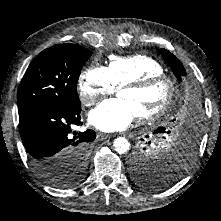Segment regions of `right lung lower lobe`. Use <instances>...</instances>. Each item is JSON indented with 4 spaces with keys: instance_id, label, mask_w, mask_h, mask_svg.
I'll use <instances>...</instances> for the list:
<instances>
[{
    "instance_id": "obj_1",
    "label": "right lung lower lobe",
    "mask_w": 221,
    "mask_h": 221,
    "mask_svg": "<svg viewBox=\"0 0 221 221\" xmlns=\"http://www.w3.org/2000/svg\"><path fill=\"white\" fill-rule=\"evenodd\" d=\"M80 112L81 107L70 109L48 103L18 110L21 139L37 173L61 164L70 150L96 138L93 130L70 134L72 126L82 125Z\"/></svg>"
}]
</instances>
